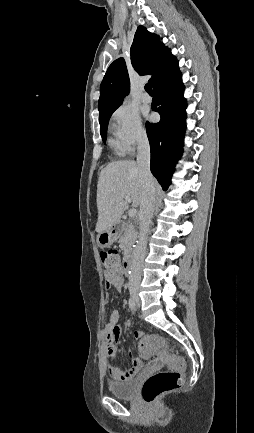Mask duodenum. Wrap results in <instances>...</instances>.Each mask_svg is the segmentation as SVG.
Wrapping results in <instances>:
<instances>
[{"label": "duodenum", "instance_id": "duodenum-1", "mask_svg": "<svg viewBox=\"0 0 254 433\" xmlns=\"http://www.w3.org/2000/svg\"><path fill=\"white\" fill-rule=\"evenodd\" d=\"M118 229H119V224H113V225H111L110 232L112 233L113 236L117 235ZM132 260H133V257L130 255L129 252H126L125 253L124 263H123L124 270L126 272H129L131 270Z\"/></svg>", "mask_w": 254, "mask_h": 433}]
</instances>
